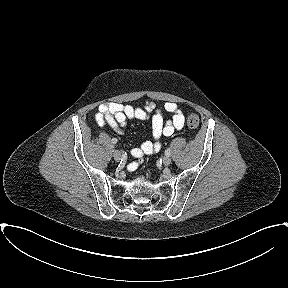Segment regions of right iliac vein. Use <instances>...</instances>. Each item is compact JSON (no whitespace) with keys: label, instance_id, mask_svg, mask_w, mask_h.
I'll return each mask as SVG.
<instances>
[{"label":"right iliac vein","instance_id":"right-iliac-vein-1","mask_svg":"<svg viewBox=\"0 0 288 288\" xmlns=\"http://www.w3.org/2000/svg\"><path fill=\"white\" fill-rule=\"evenodd\" d=\"M113 157H114L115 161L119 162L122 159V154L120 151L116 150L113 153Z\"/></svg>","mask_w":288,"mask_h":288}]
</instances>
